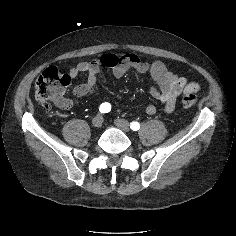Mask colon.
Returning a JSON list of instances; mask_svg holds the SVG:
<instances>
[{
	"label": "colon",
	"mask_w": 236,
	"mask_h": 236,
	"mask_svg": "<svg viewBox=\"0 0 236 236\" xmlns=\"http://www.w3.org/2000/svg\"><path fill=\"white\" fill-rule=\"evenodd\" d=\"M70 84V76L55 67L45 69L35 82V96L40 105L50 101L62 100L66 88ZM184 107H192L196 103V96L192 93L182 96Z\"/></svg>",
	"instance_id": "5ec220e1"
}]
</instances>
